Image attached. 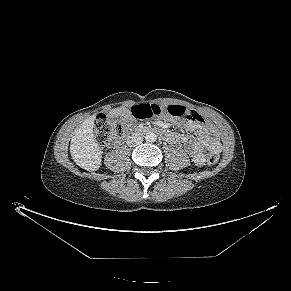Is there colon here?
Instances as JSON below:
<instances>
[{"label":"colon","mask_w":291,"mask_h":291,"mask_svg":"<svg viewBox=\"0 0 291 291\" xmlns=\"http://www.w3.org/2000/svg\"><path fill=\"white\" fill-rule=\"evenodd\" d=\"M162 108L157 105H141L133 107L131 114L133 118L145 119L158 115L162 112ZM167 111L175 117L196 118L197 113L188 112L186 108L181 106H169ZM126 128V123L121 121H108L105 116H100L94 123L92 136L96 143L102 144L111 139L121 137ZM219 149H210L208 151V161L213 163L218 159Z\"/></svg>","instance_id":"5ec220e1"}]
</instances>
